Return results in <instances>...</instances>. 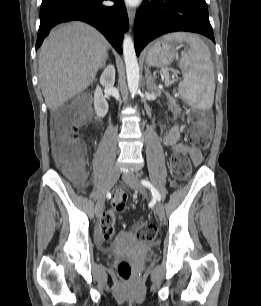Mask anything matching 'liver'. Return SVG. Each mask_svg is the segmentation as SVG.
<instances>
[{"instance_id": "liver-1", "label": "liver", "mask_w": 261, "mask_h": 306, "mask_svg": "<svg viewBox=\"0 0 261 306\" xmlns=\"http://www.w3.org/2000/svg\"><path fill=\"white\" fill-rule=\"evenodd\" d=\"M108 48L104 36L82 22L60 26L48 36L39 54V82L51 111L93 83Z\"/></svg>"}]
</instances>
